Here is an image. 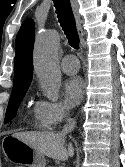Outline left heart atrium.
I'll return each instance as SVG.
<instances>
[{"instance_id": "obj_1", "label": "left heart atrium", "mask_w": 125, "mask_h": 167, "mask_svg": "<svg viewBox=\"0 0 125 167\" xmlns=\"http://www.w3.org/2000/svg\"><path fill=\"white\" fill-rule=\"evenodd\" d=\"M84 83L80 77L72 76L64 83V97L68 105H77L84 94Z\"/></svg>"}]
</instances>
